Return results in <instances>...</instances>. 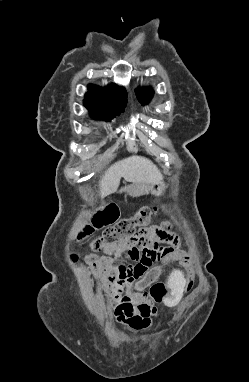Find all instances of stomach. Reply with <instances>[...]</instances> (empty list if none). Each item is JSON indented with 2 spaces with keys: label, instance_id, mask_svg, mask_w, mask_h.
Returning <instances> with one entry per match:
<instances>
[{
  "label": "stomach",
  "instance_id": "obj_1",
  "mask_svg": "<svg viewBox=\"0 0 249 382\" xmlns=\"http://www.w3.org/2000/svg\"><path fill=\"white\" fill-rule=\"evenodd\" d=\"M165 190V186L161 181L154 182L152 184H135L129 185L123 188L121 191H125L127 194L133 197H139L142 195H147L149 193L160 196Z\"/></svg>",
  "mask_w": 249,
  "mask_h": 382
}]
</instances>
